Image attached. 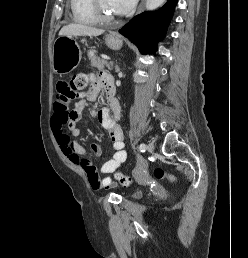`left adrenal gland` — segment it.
<instances>
[{
	"label": "left adrenal gland",
	"instance_id": "left-adrenal-gland-1",
	"mask_svg": "<svg viewBox=\"0 0 248 258\" xmlns=\"http://www.w3.org/2000/svg\"><path fill=\"white\" fill-rule=\"evenodd\" d=\"M116 70H117V71H119V70H120L118 66L116 67Z\"/></svg>",
	"mask_w": 248,
	"mask_h": 258
}]
</instances>
